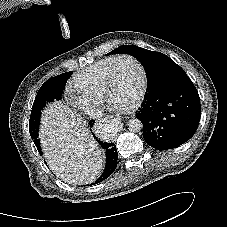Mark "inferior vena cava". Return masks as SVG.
I'll return each mask as SVG.
<instances>
[{"label":"inferior vena cava","instance_id":"inferior-vena-cava-1","mask_svg":"<svg viewBox=\"0 0 227 227\" xmlns=\"http://www.w3.org/2000/svg\"><path fill=\"white\" fill-rule=\"evenodd\" d=\"M86 114L91 119H98L102 116V112L97 108H90L86 111Z\"/></svg>","mask_w":227,"mask_h":227}]
</instances>
